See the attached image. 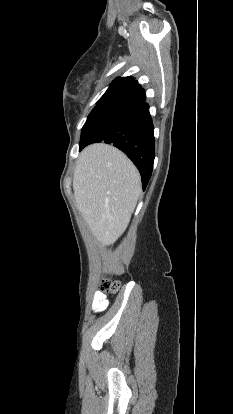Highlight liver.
I'll return each instance as SVG.
<instances>
[{
	"instance_id": "obj_1",
	"label": "liver",
	"mask_w": 233,
	"mask_h": 414,
	"mask_svg": "<svg viewBox=\"0 0 233 414\" xmlns=\"http://www.w3.org/2000/svg\"><path fill=\"white\" fill-rule=\"evenodd\" d=\"M77 208L98 242L112 244L127 228L141 194V177L117 148L104 143L80 153L73 177Z\"/></svg>"
}]
</instances>
